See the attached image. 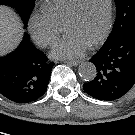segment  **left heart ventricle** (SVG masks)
Listing matches in <instances>:
<instances>
[{
	"mask_svg": "<svg viewBox=\"0 0 135 135\" xmlns=\"http://www.w3.org/2000/svg\"><path fill=\"white\" fill-rule=\"evenodd\" d=\"M108 16V0H83L75 19L63 26L65 34L74 35L87 45L103 33Z\"/></svg>",
	"mask_w": 135,
	"mask_h": 135,
	"instance_id": "1",
	"label": "left heart ventricle"
}]
</instances>
